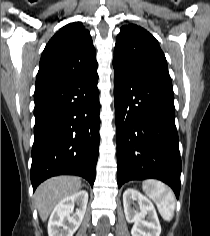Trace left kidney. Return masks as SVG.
<instances>
[{"label":"left kidney","mask_w":210,"mask_h":236,"mask_svg":"<svg viewBox=\"0 0 210 236\" xmlns=\"http://www.w3.org/2000/svg\"><path fill=\"white\" fill-rule=\"evenodd\" d=\"M134 201L139 203V211L132 207ZM123 206L126 220L129 223H134L131 229L132 236H160L161 226L159 219L149 199L139 191L128 188L123 193Z\"/></svg>","instance_id":"obj_1"}]
</instances>
